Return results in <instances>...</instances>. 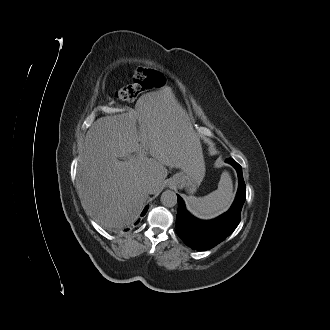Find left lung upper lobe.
<instances>
[{"instance_id":"left-lung-upper-lobe-1","label":"left lung upper lobe","mask_w":330,"mask_h":330,"mask_svg":"<svg viewBox=\"0 0 330 330\" xmlns=\"http://www.w3.org/2000/svg\"><path fill=\"white\" fill-rule=\"evenodd\" d=\"M245 198H246V195L243 196V201L245 200Z\"/></svg>"}]
</instances>
